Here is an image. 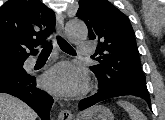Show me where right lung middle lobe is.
<instances>
[{"mask_svg":"<svg viewBox=\"0 0 165 120\" xmlns=\"http://www.w3.org/2000/svg\"><path fill=\"white\" fill-rule=\"evenodd\" d=\"M23 63L24 61L0 63V71H10V72L25 71L23 69Z\"/></svg>","mask_w":165,"mask_h":120,"instance_id":"dd1d6c3e","label":"right lung middle lobe"}]
</instances>
